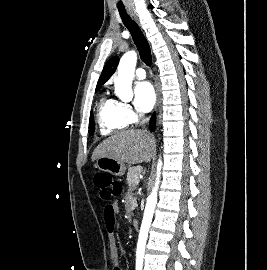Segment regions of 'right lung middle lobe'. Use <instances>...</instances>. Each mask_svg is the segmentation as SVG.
<instances>
[{
    "mask_svg": "<svg viewBox=\"0 0 267 270\" xmlns=\"http://www.w3.org/2000/svg\"><path fill=\"white\" fill-rule=\"evenodd\" d=\"M97 91L98 89L95 92ZM94 130H95L94 117H93V113H91L90 120H89V133L92 134Z\"/></svg>",
    "mask_w": 267,
    "mask_h": 270,
    "instance_id": "1",
    "label": "right lung middle lobe"
}]
</instances>
